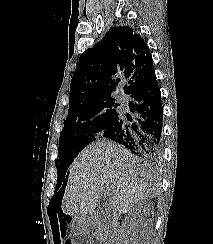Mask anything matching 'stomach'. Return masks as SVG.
I'll return each instance as SVG.
<instances>
[{"mask_svg": "<svg viewBox=\"0 0 213 244\" xmlns=\"http://www.w3.org/2000/svg\"><path fill=\"white\" fill-rule=\"evenodd\" d=\"M84 221H75L74 231H83Z\"/></svg>", "mask_w": 213, "mask_h": 244, "instance_id": "stomach-1", "label": "stomach"}]
</instances>
